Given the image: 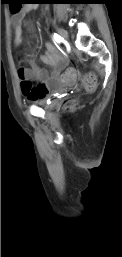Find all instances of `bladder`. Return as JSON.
Wrapping results in <instances>:
<instances>
[{"instance_id": "1", "label": "bladder", "mask_w": 122, "mask_h": 257, "mask_svg": "<svg viewBox=\"0 0 122 257\" xmlns=\"http://www.w3.org/2000/svg\"><path fill=\"white\" fill-rule=\"evenodd\" d=\"M37 106L42 107V108H47V102L46 99H39V100H34L33 101Z\"/></svg>"}]
</instances>
